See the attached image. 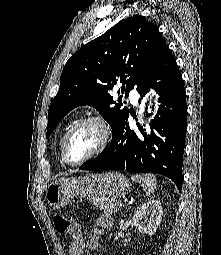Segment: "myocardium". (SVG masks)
<instances>
[{
	"label": "myocardium",
	"mask_w": 221,
	"mask_h": 255,
	"mask_svg": "<svg viewBox=\"0 0 221 255\" xmlns=\"http://www.w3.org/2000/svg\"><path fill=\"white\" fill-rule=\"evenodd\" d=\"M88 124H94L96 125L101 132V139L100 142L98 144V146L95 148V150L90 153L88 156L84 157L83 159L79 160V161H71L68 157V153H67V147H68V143L72 137V135L81 127L88 125ZM111 138V127L109 125V123L101 116V115H90V116H86L84 118H82L81 120H79L78 122H76L66 133L63 143H62V147H61V156H62V160L70 166H80L82 164H84L85 162L95 158L96 156H98L99 154H101L104 149L107 147L109 141Z\"/></svg>",
	"instance_id": "f54148a6"
}]
</instances>
